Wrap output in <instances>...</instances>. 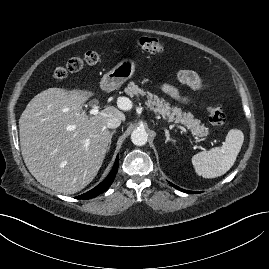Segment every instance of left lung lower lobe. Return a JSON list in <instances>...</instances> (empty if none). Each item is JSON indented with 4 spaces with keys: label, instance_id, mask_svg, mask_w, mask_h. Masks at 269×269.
<instances>
[{
    "label": "left lung lower lobe",
    "instance_id": "obj_1",
    "mask_svg": "<svg viewBox=\"0 0 269 269\" xmlns=\"http://www.w3.org/2000/svg\"><path fill=\"white\" fill-rule=\"evenodd\" d=\"M170 184H171L173 187H175L176 189H178V190H180V191H182V192L191 193V194L198 193V192H193V191H188V190L181 189V188H179L178 186H176V185H174V184H172V183H170Z\"/></svg>",
    "mask_w": 269,
    "mask_h": 269
}]
</instances>
